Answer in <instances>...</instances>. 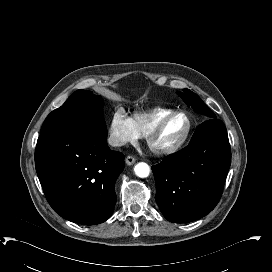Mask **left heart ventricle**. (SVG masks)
Masks as SVG:
<instances>
[{"instance_id":"b2bd125f","label":"left heart ventricle","mask_w":272,"mask_h":272,"mask_svg":"<svg viewBox=\"0 0 272 272\" xmlns=\"http://www.w3.org/2000/svg\"><path fill=\"white\" fill-rule=\"evenodd\" d=\"M186 129V118L176 116L167 123L163 131L154 139V145L160 148L172 146L182 139Z\"/></svg>"}]
</instances>
